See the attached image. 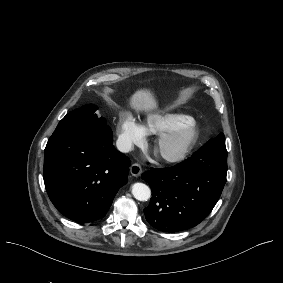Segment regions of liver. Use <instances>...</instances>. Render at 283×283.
Listing matches in <instances>:
<instances>
[{
    "label": "liver",
    "mask_w": 283,
    "mask_h": 283,
    "mask_svg": "<svg viewBox=\"0 0 283 283\" xmlns=\"http://www.w3.org/2000/svg\"><path fill=\"white\" fill-rule=\"evenodd\" d=\"M130 106L136 111H151L157 108V102L149 90H138L131 97Z\"/></svg>",
    "instance_id": "1"
}]
</instances>
